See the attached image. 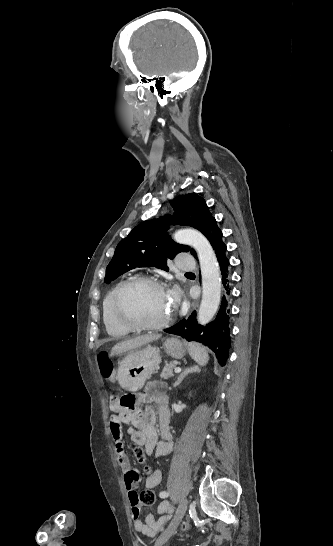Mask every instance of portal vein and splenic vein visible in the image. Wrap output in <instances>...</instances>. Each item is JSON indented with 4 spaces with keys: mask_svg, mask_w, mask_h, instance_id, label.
<instances>
[{
    "mask_svg": "<svg viewBox=\"0 0 333 546\" xmlns=\"http://www.w3.org/2000/svg\"><path fill=\"white\" fill-rule=\"evenodd\" d=\"M174 372H175V373H180V372H181V368H179V367L175 368V369H174Z\"/></svg>",
    "mask_w": 333,
    "mask_h": 546,
    "instance_id": "1",
    "label": "portal vein and splenic vein"
}]
</instances>
